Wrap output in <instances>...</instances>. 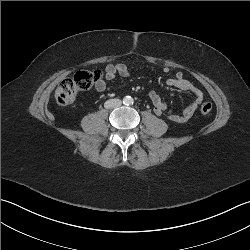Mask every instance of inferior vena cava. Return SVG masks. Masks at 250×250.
Listing matches in <instances>:
<instances>
[{
	"mask_svg": "<svg viewBox=\"0 0 250 250\" xmlns=\"http://www.w3.org/2000/svg\"><path fill=\"white\" fill-rule=\"evenodd\" d=\"M121 104H122V101L119 99H110L105 102V108L113 109V108L120 107Z\"/></svg>",
	"mask_w": 250,
	"mask_h": 250,
	"instance_id": "inferior-vena-cava-1",
	"label": "inferior vena cava"
}]
</instances>
